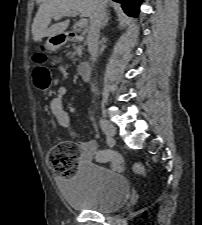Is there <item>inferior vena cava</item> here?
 <instances>
[{"label": "inferior vena cava", "mask_w": 202, "mask_h": 225, "mask_svg": "<svg viewBox=\"0 0 202 225\" xmlns=\"http://www.w3.org/2000/svg\"><path fill=\"white\" fill-rule=\"evenodd\" d=\"M105 5L102 0H97L93 16L90 19V28L87 36L88 51L94 63L98 56V40L101 24L105 18Z\"/></svg>", "instance_id": "obj_1"}]
</instances>
